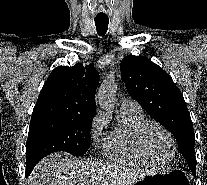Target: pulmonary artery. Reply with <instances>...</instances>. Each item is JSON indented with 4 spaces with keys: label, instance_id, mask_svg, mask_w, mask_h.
I'll use <instances>...</instances> for the list:
<instances>
[{
    "label": "pulmonary artery",
    "instance_id": "1",
    "mask_svg": "<svg viewBox=\"0 0 207 185\" xmlns=\"http://www.w3.org/2000/svg\"><path fill=\"white\" fill-rule=\"evenodd\" d=\"M121 110L133 111V112H140L141 111L140 106L136 102L130 101V100L122 101Z\"/></svg>",
    "mask_w": 207,
    "mask_h": 185
}]
</instances>
